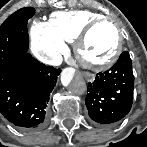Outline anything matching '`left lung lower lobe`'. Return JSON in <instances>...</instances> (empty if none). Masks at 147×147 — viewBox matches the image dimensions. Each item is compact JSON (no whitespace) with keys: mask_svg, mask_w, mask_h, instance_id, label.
Returning <instances> with one entry per match:
<instances>
[{"mask_svg":"<svg viewBox=\"0 0 147 147\" xmlns=\"http://www.w3.org/2000/svg\"><path fill=\"white\" fill-rule=\"evenodd\" d=\"M133 91L132 63L124 52L109 71L97 74L88 85L85 103L89 121L101 128L117 125L131 109Z\"/></svg>","mask_w":147,"mask_h":147,"instance_id":"obj_1","label":"left lung lower lobe"}]
</instances>
